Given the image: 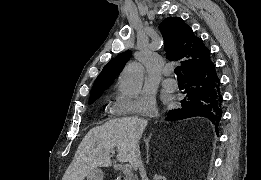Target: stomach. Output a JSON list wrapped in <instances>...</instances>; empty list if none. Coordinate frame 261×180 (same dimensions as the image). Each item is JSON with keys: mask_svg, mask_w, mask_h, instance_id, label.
<instances>
[{"mask_svg": "<svg viewBox=\"0 0 261 180\" xmlns=\"http://www.w3.org/2000/svg\"><path fill=\"white\" fill-rule=\"evenodd\" d=\"M103 178V171L98 168L93 169L86 176V180H103Z\"/></svg>", "mask_w": 261, "mask_h": 180, "instance_id": "obj_1", "label": "stomach"}]
</instances>
